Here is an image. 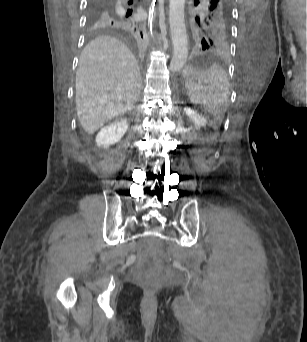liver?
I'll use <instances>...</instances> for the list:
<instances>
[{
  "label": "liver",
  "mask_w": 307,
  "mask_h": 342,
  "mask_svg": "<svg viewBox=\"0 0 307 342\" xmlns=\"http://www.w3.org/2000/svg\"><path fill=\"white\" fill-rule=\"evenodd\" d=\"M138 62L129 48L111 36L85 46L76 72V112L87 134L131 110L141 90Z\"/></svg>",
  "instance_id": "1"
}]
</instances>
